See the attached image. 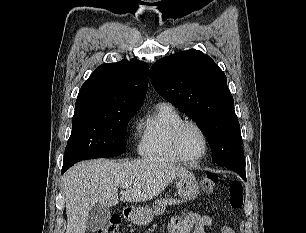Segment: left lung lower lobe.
Returning a JSON list of instances; mask_svg holds the SVG:
<instances>
[{
	"instance_id": "obj_1",
	"label": "left lung lower lobe",
	"mask_w": 306,
	"mask_h": 233,
	"mask_svg": "<svg viewBox=\"0 0 306 233\" xmlns=\"http://www.w3.org/2000/svg\"><path fill=\"white\" fill-rule=\"evenodd\" d=\"M228 168L232 169L233 171L237 172L243 179L245 177V165L244 166H227Z\"/></svg>"
}]
</instances>
